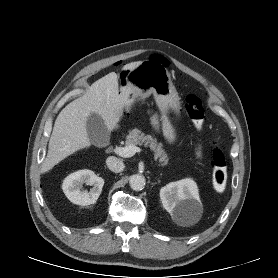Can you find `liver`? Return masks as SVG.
<instances>
[{
    "label": "liver",
    "instance_id": "obj_1",
    "mask_svg": "<svg viewBox=\"0 0 278 278\" xmlns=\"http://www.w3.org/2000/svg\"><path fill=\"white\" fill-rule=\"evenodd\" d=\"M139 63L126 64L122 70L133 69ZM139 92L136 86L126 82L120 87L119 93L115 72L94 82L83 96L69 103L58 114L41 172H48L68 156L91 146L86 123L92 112L101 116L109 132L114 131L123 112H130Z\"/></svg>",
    "mask_w": 278,
    "mask_h": 278
}]
</instances>
